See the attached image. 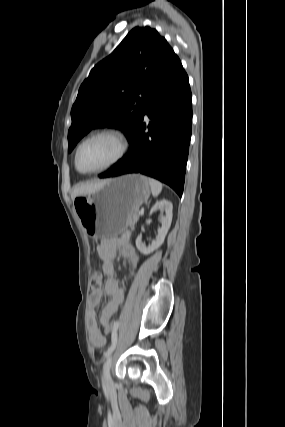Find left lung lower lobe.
Listing matches in <instances>:
<instances>
[{
	"instance_id": "0a47b994",
	"label": "left lung lower lobe",
	"mask_w": 285,
	"mask_h": 427,
	"mask_svg": "<svg viewBox=\"0 0 285 427\" xmlns=\"http://www.w3.org/2000/svg\"><path fill=\"white\" fill-rule=\"evenodd\" d=\"M151 120L143 122L144 115ZM192 125L188 76L172 51L150 88L144 110L128 139L130 150L113 168L99 175L141 173L166 183L181 197Z\"/></svg>"
}]
</instances>
